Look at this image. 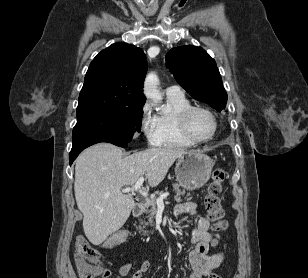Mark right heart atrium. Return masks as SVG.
Instances as JSON below:
<instances>
[{
    "label": "right heart atrium",
    "mask_w": 308,
    "mask_h": 278,
    "mask_svg": "<svg viewBox=\"0 0 308 278\" xmlns=\"http://www.w3.org/2000/svg\"><path fill=\"white\" fill-rule=\"evenodd\" d=\"M139 128L149 145H158V130L156 116L152 114L149 104H144L139 118Z\"/></svg>",
    "instance_id": "right-heart-atrium-1"
}]
</instances>
